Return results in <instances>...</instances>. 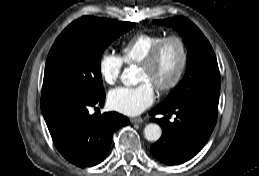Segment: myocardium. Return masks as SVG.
<instances>
[{
  "label": "myocardium",
  "mask_w": 259,
  "mask_h": 176,
  "mask_svg": "<svg viewBox=\"0 0 259 176\" xmlns=\"http://www.w3.org/2000/svg\"><path fill=\"white\" fill-rule=\"evenodd\" d=\"M174 41L178 44L181 52V60L174 77L164 85H158L155 88L161 94H168L173 91L181 82L188 64V48L184 39L177 35H169L162 38L147 54V56L139 63L140 67L151 68L155 65L163 47Z\"/></svg>",
  "instance_id": "f54148a6"
}]
</instances>
